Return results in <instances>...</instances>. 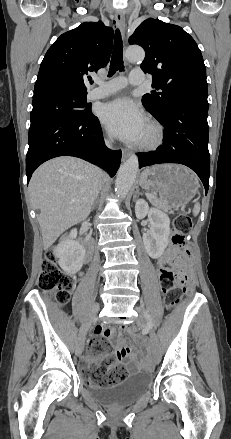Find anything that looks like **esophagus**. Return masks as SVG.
<instances>
[{
  "label": "esophagus",
  "mask_w": 231,
  "mask_h": 439,
  "mask_svg": "<svg viewBox=\"0 0 231 439\" xmlns=\"http://www.w3.org/2000/svg\"><path fill=\"white\" fill-rule=\"evenodd\" d=\"M116 25L119 27L121 34L123 38H125V32H126V23H125V17L123 12H117L114 17ZM131 152L127 149L122 150V158L126 159L129 157Z\"/></svg>",
  "instance_id": "esophagus-1"
}]
</instances>
